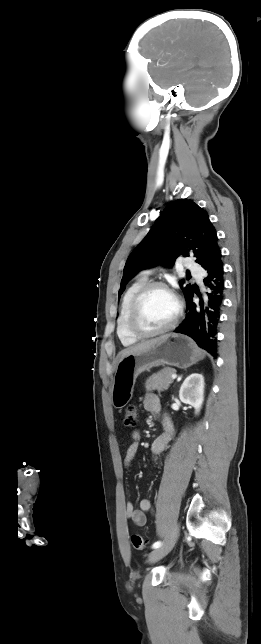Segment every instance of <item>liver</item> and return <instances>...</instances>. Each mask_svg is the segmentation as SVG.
I'll return each instance as SVG.
<instances>
[{
	"instance_id": "6515ba94",
	"label": "liver",
	"mask_w": 261,
	"mask_h": 644,
	"mask_svg": "<svg viewBox=\"0 0 261 644\" xmlns=\"http://www.w3.org/2000/svg\"><path fill=\"white\" fill-rule=\"evenodd\" d=\"M167 337H168V335H163V336H160L158 338L151 339V340L142 342L140 344H137L135 346L129 347L127 349H124L120 354L121 355L120 360H122L124 357H126V356H128L130 354H134V353L141 352V351H146V350L150 349L151 347L155 346L156 344L163 342Z\"/></svg>"
}]
</instances>
